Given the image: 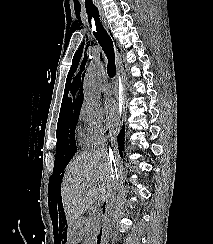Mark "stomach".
<instances>
[{
    "instance_id": "1",
    "label": "stomach",
    "mask_w": 213,
    "mask_h": 244,
    "mask_svg": "<svg viewBox=\"0 0 213 244\" xmlns=\"http://www.w3.org/2000/svg\"><path fill=\"white\" fill-rule=\"evenodd\" d=\"M68 239L66 244H80L82 229H80V221H69L68 223Z\"/></svg>"
}]
</instances>
